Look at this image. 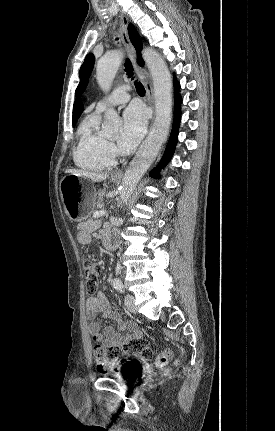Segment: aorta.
<instances>
[{
    "label": "aorta",
    "mask_w": 275,
    "mask_h": 431,
    "mask_svg": "<svg viewBox=\"0 0 275 431\" xmlns=\"http://www.w3.org/2000/svg\"><path fill=\"white\" fill-rule=\"evenodd\" d=\"M153 81L155 99V120L152 129L130 162L122 179L119 203L128 201L137 183L157 157L169 132L172 113V79L166 62L160 54L150 48L142 53ZM122 62V52L112 51L97 63L96 77L99 86L108 91ZM121 128V120L114 109H108L103 122V132L112 136Z\"/></svg>",
    "instance_id": "1"
}]
</instances>
